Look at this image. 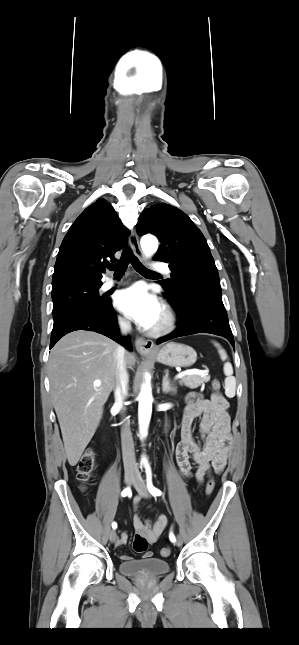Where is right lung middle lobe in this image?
Masks as SVG:
<instances>
[{
  "label": "right lung middle lobe",
  "instance_id": "obj_1",
  "mask_svg": "<svg viewBox=\"0 0 299 645\" xmlns=\"http://www.w3.org/2000/svg\"><path fill=\"white\" fill-rule=\"evenodd\" d=\"M102 284H73L52 292L54 324L86 309L101 308L109 299L99 295Z\"/></svg>",
  "mask_w": 299,
  "mask_h": 645
}]
</instances>
